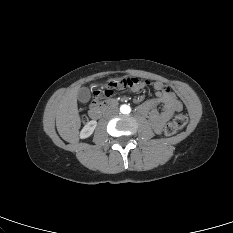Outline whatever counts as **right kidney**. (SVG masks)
Segmentation results:
<instances>
[{
  "label": "right kidney",
  "mask_w": 233,
  "mask_h": 233,
  "mask_svg": "<svg viewBox=\"0 0 233 233\" xmlns=\"http://www.w3.org/2000/svg\"><path fill=\"white\" fill-rule=\"evenodd\" d=\"M96 126H97V122L95 120L88 122L81 130L80 138L85 139L90 137L93 134Z\"/></svg>",
  "instance_id": "ca27d5eb"
}]
</instances>
